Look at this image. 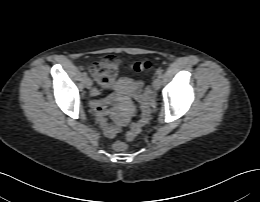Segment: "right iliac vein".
I'll return each instance as SVG.
<instances>
[{"instance_id":"63e3f726","label":"right iliac vein","mask_w":260,"mask_h":202,"mask_svg":"<svg viewBox=\"0 0 260 202\" xmlns=\"http://www.w3.org/2000/svg\"><path fill=\"white\" fill-rule=\"evenodd\" d=\"M84 82H85L86 88L87 89H91V87H92V80L90 78L86 77Z\"/></svg>"}]
</instances>
